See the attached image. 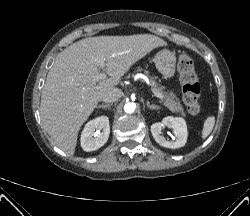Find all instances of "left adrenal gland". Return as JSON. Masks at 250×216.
Listing matches in <instances>:
<instances>
[{
  "mask_svg": "<svg viewBox=\"0 0 250 216\" xmlns=\"http://www.w3.org/2000/svg\"><path fill=\"white\" fill-rule=\"evenodd\" d=\"M147 107L150 108V109H160L159 106H156L154 104H150L149 102L146 103Z\"/></svg>",
  "mask_w": 250,
  "mask_h": 216,
  "instance_id": "a2214340",
  "label": "left adrenal gland"
}]
</instances>
